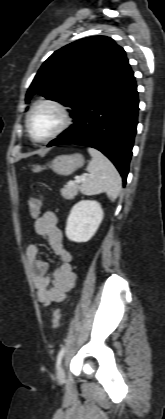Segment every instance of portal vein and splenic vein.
Instances as JSON below:
<instances>
[{"label":"portal vein and splenic vein","mask_w":165,"mask_h":419,"mask_svg":"<svg viewBox=\"0 0 165 419\" xmlns=\"http://www.w3.org/2000/svg\"><path fill=\"white\" fill-rule=\"evenodd\" d=\"M87 177V174H84L82 176H77L75 177V182L80 183L82 182L85 178ZM69 184H73L72 182H70Z\"/></svg>","instance_id":"1"}]
</instances>
